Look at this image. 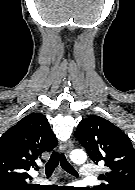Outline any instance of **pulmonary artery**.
<instances>
[{"label": "pulmonary artery", "mask_w": 135, "mask_h": 190, "mask_svg": "<svg viewBox=\"0 0 135 190\" xmlns=\"http://www.w3.org/2000/svg\"><path fill=\"white\" fill-rule=\"evenodd\" d=\"M79 175L83 179H89L92 178L95 175V168L92 164L86 163L81 165ZM37 183H45L46 180L42 178L35 179Z\"/></svg>", "instance_id": "obj_1"}]
</instances>
